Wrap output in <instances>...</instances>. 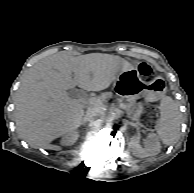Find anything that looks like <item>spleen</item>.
Masks as SVG:
<instances>
[{
    "label": "spleen",
    "mask_w": 194,
    "mask_h": 193,
    "mask_svg": "<svg viewBox=\"0 0 194 193\" xmlns=\"http://www.w3.org/2000/svg\"><path fill=\"white\" fill-rule=\"evenodd\" d=\"M181 114L178 104L169 96L162 98L160 105V119L156 124L158 137L166 145L173 144L179 135Z\"/></svg>",
    "instance_id": "3e777b00"
}]
</instances>
